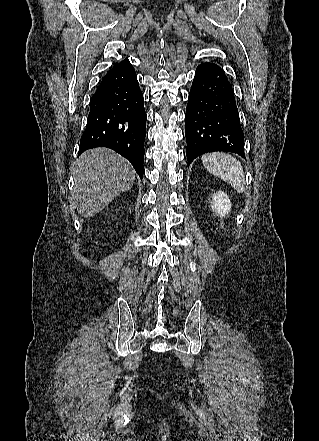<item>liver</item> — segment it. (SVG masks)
Returning <instances> with one entry per match:
<instances>
[{"label":"liver","instance_id":"6515ba94","mask_svg":"<svg viewBox=\"0 0 319 441\" xmlns=\"http://www.w3.org/2000/svg\"><path fill=\"white\" fill-rule=\"evenodd\" d=\"M75 165L73 207L84 217L98 214L118 195L130 190L135 181L129 161L109 149H90Z\"/></svg>","mask_w":319,"mask_h":441}]
</instances>
